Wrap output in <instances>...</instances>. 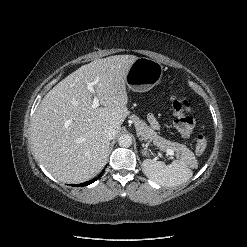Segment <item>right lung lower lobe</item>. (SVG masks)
Instances as JSON below:
<instances>
[{
  "label": "right lung lower lobe",
  "instance_id": "98d812e1",
  "mask_svg": "<svg viewBox=\"0 0 247 247\" xmlns=\"http://www.w3.org/2000/svg\"><path fill=\"white\" fill-rule=\"evenodd\" d=\"M105 169L102 171V173H100V175L98 177H96L94 180H91V181H88V182H84V183H81V184H76L75 186H86V185H89L91 183H93L94 181H96L98 178H100L102 176V174L104 173Z\"/></svg>",
  "mask_w": 247,
  "mask_h": 247
}]
</instances>
